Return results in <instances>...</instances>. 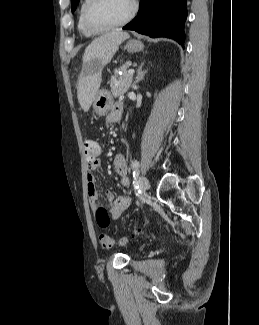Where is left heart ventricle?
Masks as SVG:
<instances>
[{
	"mask_svg": "<svg viewBox=\"0 0 259 325\" xmlns=\"http://www.w3.org/2000/svg\"><path fill=\"white\" fill-rule=\"evenodd\" d=\"M132 0H99L90 12L96 24H110L123 19L131 9Z\"/></svg>",
	"mask_w": 259,
	"mask_h": 325,
	"instance_id": "obj_1",
	"label": "left heart ventricle"
}]
</instances>
